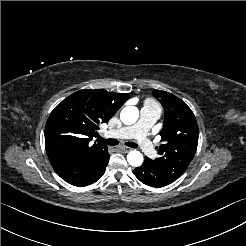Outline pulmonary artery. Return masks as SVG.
Listing matches in <instances>:
<instances>
[{"mask_svg":"<svg viewBox=\"0 0 246 246\" xmlns=\"http://www.w3.org/2000/svg\"><path fill=\"white\" fill-rule=\"evenodd\" d=\"M161 110L159 108H143L141 118L137 124L125 126L115 132H109L110 137L134 138L141 145V149L150 156H153L155 150L151 142L146 137V130L153 125L159 118Z\"/></svg>","mask_w":246,"mask_h":246,"instance_id":"pulmonary-artery-1","label":"pulmonary artery"}]
</instances>
